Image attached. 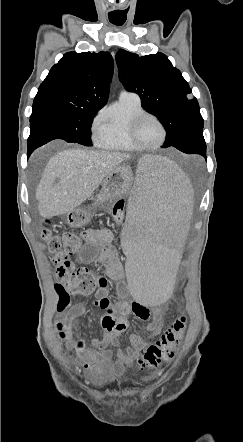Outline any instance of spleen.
Listing matches in <instances>:
<instances>
[{
    "mask_svg": "<svg viewBox=\"0 0 243 442\" xmlns=\"http://www.w3.org/2000/svg\"><path fill=\"white\" fill-rule=\"evenodd\" d=\"M128 217L122 228L128 296L138 307H162L175 291L177 263L183 258L188 226H193L192 193L187 172L175 163L144 156L130 185Z\"/></svg>",
    "mask_w": 243,
    "mask_h": 442,
    "instance_id": "3e777b00",
    "label": "spleen"
}]
</instances>
